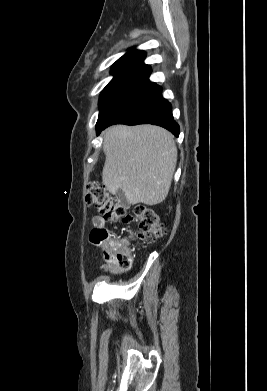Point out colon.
Returning <instances> with one entry per match:
<instances>
[{"mask_svg": "<svg viewBox=\"0 0 267 391\" xmlns=\"http://www.w3.org/2000/svg\"><path fill=\"white\" fill-rule=\"evenodd\" d=\"M85 200L88 205L97 209L100 215L109 222H135L138 228L137 236L145 240H157L163 235V225L158 214L143 205L134 208L129 214L126 206L110 195L106 187L99 182H92L87 186ZM131 233L123 238H111L109 231L104 227L91 231L90 240L95 245L109 243L105 251V259L114 263L121 270H128L132 265V256L129 249Z\"/></svg>", "mask_w": 267, "mask_h": 391, "instance_id": "obj_1", "label": "colon"}]
</instances>
